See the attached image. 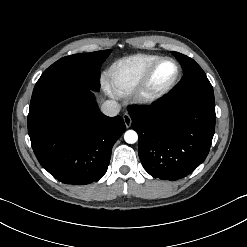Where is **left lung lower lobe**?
Here are the masks:
<instances>
[{
    "instance_id": "obj_1",
    "label": "left lung lower lobe",
    "mask_w": 247,
    "mask_h": 247,
    "mask_svg": "<svg viewBox=\"0 0 247 247\" xmlns=\"http://www.w3.org/2000/svg\"><path fill=\"white\" fill-rule=\"evenodd\" d=\"M138 154L154 178L175 181L206 159L215 131L214 94L170 95L151 109H130Z\"/></svg>"
}]
</instances>
